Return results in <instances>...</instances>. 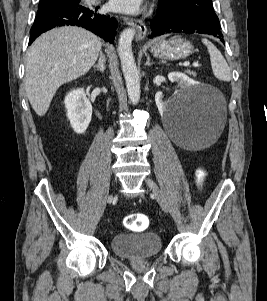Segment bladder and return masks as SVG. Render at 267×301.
I'll return each mask as SVG.
<instances>
[{"instance_id": "31cf9c89", "label": "bladder", "mask_w": 267, "mask_h": 301, "mask_svg": "<svg viewBox=\"0 0 267 301\" xmlns=\"http://www.w3.org/2000/svg\"><path fill=\"white\" fill-rule=\"evenodd\" d=\"M112 252L123 259L155 257L162 251V240L154 232L118 233L110 239Z\"/></svg>"}]
</instances>
